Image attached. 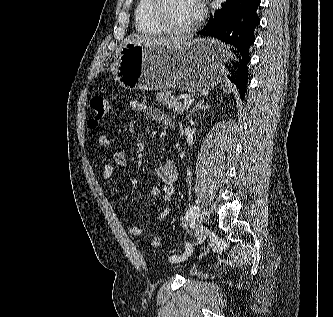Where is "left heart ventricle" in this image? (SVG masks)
Returning <instances> with one entry per match:
<instances>
[{
  "instance_id": "obj_1",
  "label": "left heart ventricle",
  "mask_w": 333,
  "mask_h": 317,
  "mask_svg": "<svg viewBox=\"0 0 333 317\" xmlns=\"http://www.w3.org/2000/svg\"><path fill=\"white\" fill-rule=\"evenodd\" d=\"M197 0H166L165 17L175 27L186 28L198 16Z\"/></svg>"
}]
</instances>
